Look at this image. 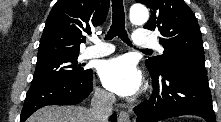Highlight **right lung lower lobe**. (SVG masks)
Wrapping results in <instances>:
<instances>
[{
  "label": "right lung lower lobe",
  "instance_id": "right-lung-lower-lobe-1",
  "mask_svg": "<svg viewBox=\"0 0 221 122\" xmlns=\"http://www.w3.org/2000/svg\"><path fill=\"white\" fill-rule=\"evenodd\" d=\"M92 70L80 79H64L32 84L24 102L20 122H24L37 109L47 105H74L89 96L92 87ZM116 122V115L111 116Z\"/></svg>",
  "mask_w": 221,
  "mask_h": 122
}]
</instances>
